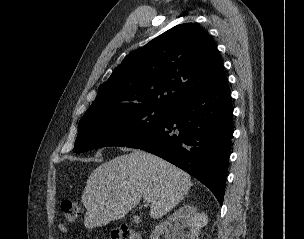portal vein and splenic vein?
Wrapping results in <instances>:
<instances>
[{
    "instance_id": "1",
    "label": "portal vein and splenic vein",
    "mask_w": 304,
    "mask_h": 239,
    "mask_svg": "<svg viewBox=\"0 0 304 239\" xmlns=\"http://www.w3.org/2000/svg\"><path fill=\"white\" fill-rule=\"evenodd\" d=\"M144 201H145V202H150V199L147 198V197H145V198H144Z\"/></svg>"
}]
</instances>
